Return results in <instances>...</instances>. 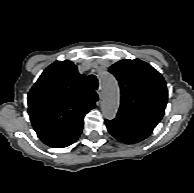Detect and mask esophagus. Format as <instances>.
Masks as SVG:
<instances>
[{"instance_id":"obj_1","label":"esophagus","mask_w":194,"mask_h":193,"mask_svg":"<svg viewBox=\"0 0 194 193\" xmlns=\"http://www.w3.org/2000/svg\"><path fill=\"white\" fill-rule=\"evenodd\" d=\"M97 93H98L99 99H101L102 98V88L101 87L98 88Z\"/></svg>"}]
</instances>
